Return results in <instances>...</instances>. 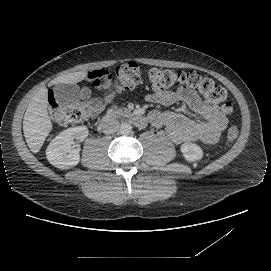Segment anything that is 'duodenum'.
I'll return each mask as SVG.
<instances>
[{
	"instance_id": "1",
	"label": "duodenum",
	"mask_w": 271,
	"mask_h": 271,
	"mask_svg": "<svg viewBox=\"0 0 271 271\" xmlns=\"http://www.w3.org/2000/svg\"><path fill=\"white\" fill-rule=\"evenodd\" d=\"M118 117H125L133 121L138 126H144L146 124V119L131 111H115L108 113L102 117L99 122V130L105 134H110L116 128V120Z\"/></svg>"
}]
</instances>
